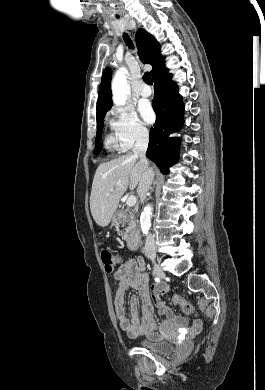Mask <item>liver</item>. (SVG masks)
Here are the masks:
<instances>
[{
  "label": "liver",
  "mask_w": 265,
  "mask_h": 390,
  "mask_svg": "<svg viewBox=\"0 0 265 390\" xmlns=\"http://www.w3.org/2000/svg\"><path fill=\"white\" fill-rule=\"evenodd\" d=\"M144 164L129 152L98 166L90 195L93 219L101 227L107 226L126 190H134L143 177Z\"/></svg>",
  "instance_id": "liver-1"
}]
</instances>
